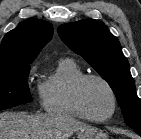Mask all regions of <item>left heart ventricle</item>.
<instances>
[{
    "mask_svg": "<svg viewBox=\"0 0 141 139\" xmlns=\"http://www.w3.org/2000/svg\"><path fill=\"white\" fill-rule=\"evenodd\" d=\"M82 100L89 115L95 118L108 116L112 109L111 95L104 84L89 80L82 90Z\"/></svg>",
    "mask_w": 141,
    "mask_h": 139,
    "instance_id": "obj_1",
    "label": "left heart ventricle"
}]
</instances>
